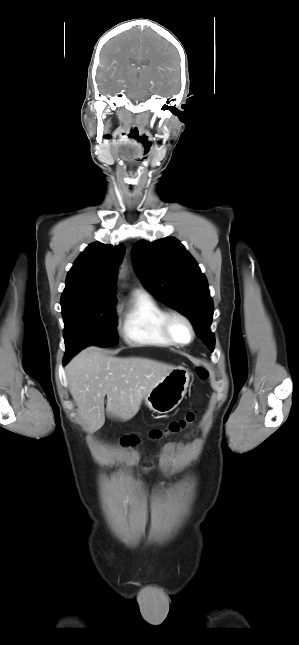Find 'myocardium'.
Wrapping results in <instances>:
<instances>
[{
    "instance_id": "myocardium-1",
    "label": "myocardium",
    "mask_w": 299,
    "mask_h": 645,
    "mask_svg": "<svg viewBox=\"0 0 299 645\" xmlns=\"http://www.w3.org/2000/svg\"><path fill=\"white\" fill-rule=\"evenodd\" d=\"M175 320L182 321L188 327L190 337L187 341H180L174 335L171 326ZM161 329L164 336L174 345L185 346L190 344L195 338V329L191 320L185 314L176 310L167 311L165 313L162 319Z\"/></svg>"
}]
</instances>
